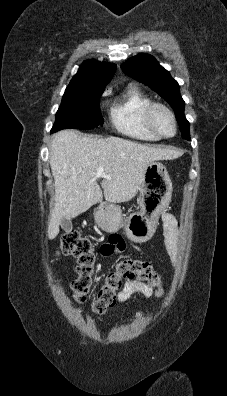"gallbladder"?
Returning a JSON list of instances; mask_svg holds the SVG:
<instances>
[{"instance_id":"1","label":"gallbladder","mask_w":227,"mask_h":396,"mask_svg":"<svg viewBox=\"0 0 227 396\" xmlns=\"http://www.w3.org/2000/svg\"><path fill=\"white\" fill-rule=\"evenodd\" d=\"M60 225L65 232H69L72 230V223L70 218H62L60 221Z\"/></svg>"}]
</instances>
